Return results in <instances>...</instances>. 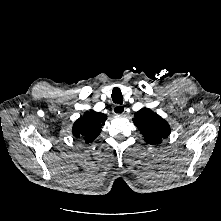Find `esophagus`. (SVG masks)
<instances>
[{
  "instance_id": "34e87169",
  "label": "esophagus",
  "mask_w": 221,
  "mask_h": 221,
  "mask_svg": "<svg viewBox=\"0 0 221 221\" xmlns=\"http://www.w3.org/2000/svg\"><path fill=\"white\" fill-rule=\"evenodd\" d=\"M126 111V108L123 105H115L112 109V112L115 115H123Z\"/></svg>"
}]
</instances>
